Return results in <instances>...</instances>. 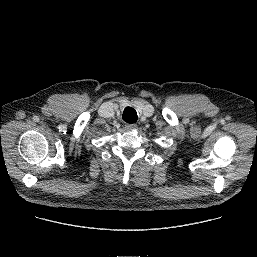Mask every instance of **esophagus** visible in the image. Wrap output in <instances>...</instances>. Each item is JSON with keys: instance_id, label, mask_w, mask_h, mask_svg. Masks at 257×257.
Masks as SVG:
<instances>
[{"instance_id": "obj_1", "label": "esophagus", "mask_w": 257, "mask_h": 257, "mask_svg": "<svg viewBox=\"0 0 257 257\" xmlns=\"http://www.w3.org/2000/svg\"><path fill=\"white\" fill-rule=\"evenodd\" d=\"M137 128V125L136 124H126L125 125V129L130 131V130H134Z\"/></svg>"}]
</instances>
